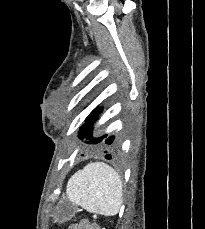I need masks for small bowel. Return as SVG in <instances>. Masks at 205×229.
<instances>
[{
    "label": "small bowel",
    "instance_id": "c3829d8e",
    "mask_svg": "<svg viewBox=\"0 0 205 229\" xmlns=\"http://www.w3.org/2000/svg\"><path fill=\"white\" fill-rule=\"evenodd\" d=\"M71 229H98L96 226L84 221L79 224H76Z\"/></svg>",
    "mask_w": 205,
    "mask_h": 229
}]
</instances>
